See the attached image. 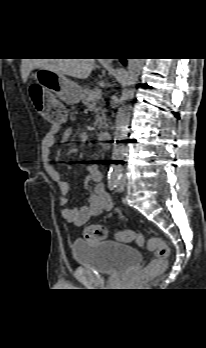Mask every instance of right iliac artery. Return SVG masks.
I'll list each match as a JSON object with an SVG mask.
<instances>
[{
	"label": "right iliac artery",
	"instance_id": "82829eb1",
	"mask_svg": "<svg viewBox=\"0 0 206 348\" xmlns=\"http://www.w3.org/2000/svg\"><path fill=\"white\" fill-rule=\"evenodd\" d=\"M121 170L117 167L113 168L109 172V177H108V185L111 190H113L116 186L119 180L121 179Z\"/></svg>",
	"mask_w": 206,
	"mask_h": 348
}]
</instances>
